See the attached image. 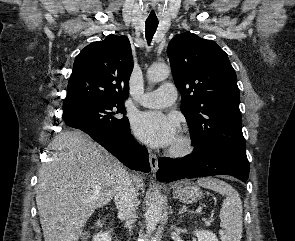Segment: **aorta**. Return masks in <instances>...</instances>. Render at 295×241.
I'll use <instances>...</instances> for the list:
<instances>
[{"label": "aorta", "mask_w": 295, "mask_h": 241, "mask_svg": "<svg viewBox=\"0 0 295 241\" xmlns=\"http://www.w3.org/2000/svg\"><path fill=\"white\" fill-rule=\"evenodd\" d=\"M170 74V68L166 64L152 65L147 70V79L150 82L157 83L166 79ZM163 210V197L162 195L153 190L151 192L148 207L145 213V223L147 232H153L162 216Z\"/></svg>", "instance_id": "obj_1"}]
</instances>
